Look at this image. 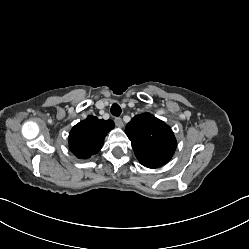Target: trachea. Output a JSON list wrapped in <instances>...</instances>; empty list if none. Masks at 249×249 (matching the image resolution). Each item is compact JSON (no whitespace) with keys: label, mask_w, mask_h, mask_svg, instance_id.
I'll return each instance as SVG.
<instances>
[{"label":"trachea","mask_w":249,"mask_h":249,"mask_svg":"<svg viewBox=\"0 0 249 249\" xmlns=\"http://www.w3.org/2000/svg\"><path fill=\"white\" fill-rule=\"evenodd\" d=\"M110 111H111L112 115L118 117L121 114V107L117 103H114L111 106V110Z\"/></svg>","instance_id":"1"}]
</instances>
